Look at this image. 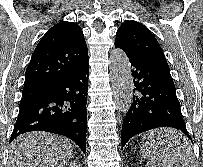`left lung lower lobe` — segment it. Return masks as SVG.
Instances as JSON below:
<instances>
[{
    "instance_id": "left-lung-lower-lobe-1",
    "label": "left lung lower lobe",
    "mask_w": 203,
    "mask_h": 167,
    "mask_svg": "<svg viewBox=\"0 0 203 167\" xmlns=\"http://www.w3.org/2000/svg\"><path fill=\"white\" fill-rule=\"evenodd\" d=\"M115 47L123 49L117 44ZM125 53L131 63L136 94L122 126V148L133 136L157 127L176 128L192 142L182 117L170 70L128 51ZM173 148L183 153L187 146Z\"/></svg>"
}]
</instances>
